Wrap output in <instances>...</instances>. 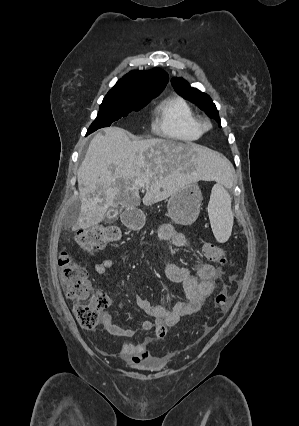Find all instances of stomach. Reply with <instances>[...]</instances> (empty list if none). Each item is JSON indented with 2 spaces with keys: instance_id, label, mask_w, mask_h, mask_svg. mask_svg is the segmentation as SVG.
<instances>
[{
  "instance_id": "0dacf381",
  "label": "stomach",
  "mask_w": 299,
  "mask_h": 426,
  "mask_svg": "<svg viewBox=\"0 0 299 426\" xmlns=\"http://www.w3.org/2000/svg\"><path fill=\"white\" fill-rule=\"evenodd\" d=\"M202 200L198 185L194 183L185 185L170 196L167 205L169 217L176 224H192L198 218Z\"/></svg>"
}]
</instances>
